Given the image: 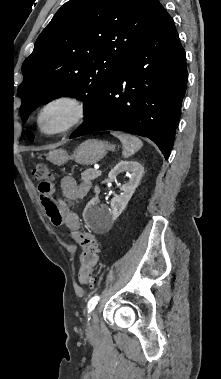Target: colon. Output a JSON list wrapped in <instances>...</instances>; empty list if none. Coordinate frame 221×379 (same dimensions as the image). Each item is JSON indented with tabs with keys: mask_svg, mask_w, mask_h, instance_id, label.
<instances>
[{
	"mask_svg": "<svg viewBox=\"0 0 221 379\" xmlns=\"http://www.w3.org/2000/svg\"><path fill=\"white\" fill-rule=\"evenodd\" d=\"M33 178L39 183V192L47 194L52 189L53 171L46 164H37L33 169ZM58 221V220H56ZM72 237L82 247L81 266L79 269V281L90 285L93 282L92 270L99 260L100 246L92 233L84 231H72Z\"/></svg>",
	"mask_w": 221,
	"mask_h": 379,
	"instance_id": "obj_1",
	"label": "colon"
}]
</instances>
